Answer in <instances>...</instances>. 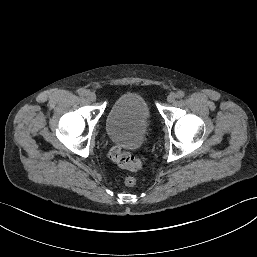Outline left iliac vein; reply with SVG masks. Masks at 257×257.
Wrapping results in <instances>:
<instances>
[{"label":"left iliac vein","instance_id":"4c4485c4","mask_svg":"<svg viewBox=\"0 0 257 257\" xmlns=\"http://www.w3.org/2000/svg\"><path fill=\"white\" fill-rule=\"evenodd\" d=\"M175 99H176V94H175V93H170V94L167 96V101H168L169 103L174 102Z\"/></svg>","mask_w":257,"mask_h":257}]
</instances>
